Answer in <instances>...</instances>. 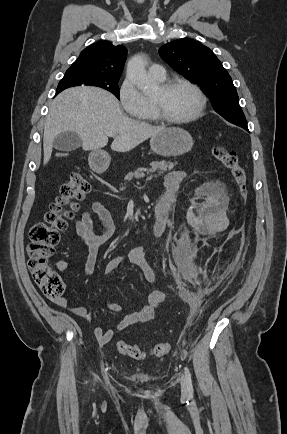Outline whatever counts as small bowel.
<instances>
[{
	"mask_svg": "<svg viewBox=\"0 0 287 434\" xmlns=\"http://www.w3.org/2000/svg\"><path fill=\"white\" fill-rule=\"evenodd\" d=\"M184 177V171L177 170L169 173L165 179L166 192L154 210L155 220H157V222L153 228V234L156 238H160L164 234L176 193ZM160 204L163 205V215L161 218H158L156 210ZM94 215L101 223V233H97L95 229L93 223ZM74 227L77 235L88 247L84 274L89 276L93 274L95 270L99 247L107 242L115 233L114 217L102 203L95 201L74 221ZM123 261H128L140 269L148 282L153 283L156 281V274L147 260L143 247H135L126 253L110 258L104 266V274L106 276L111 275ZM55 268L57 271L63 272L67 268V262L65 260H59L55 263ZM164 299L165 294L162 291L157 290L151 292L146 297L145 305L138 312L127 314L114 329L106 330L101 326L96 327L94 329V335L97 341L100 344H107L113 339L116 333L125 330L129 326L138 322L150 321L153 319L156 309ZM54 302L60 307L67 308L68 311L76 317L82 318L87 315V309L84 306L69 307V302L66 297L54 299ZM106 305L111 312L120 313L122 311L121 305L116 302L107 300Z\"/></svg>",
	"mask_w": 287,
	"mask_h": 434,
	"instance_id": "c3829d8e",
	"label": "small bowel"
}]
</instances>
